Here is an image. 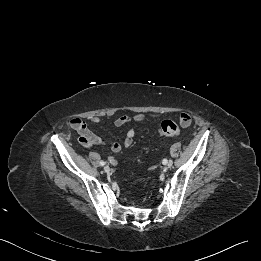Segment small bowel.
I'll return each instance as SVG.
<instances>
[{"label": "small bowel", "mask_w": 261, "mask_h": 261, "mask_svg": "<svg viewBox=\"0 0 261 261\" xmlns=\"http://www.w3.org/2000/svg\"><path fill=\"white\" fill-rule=\"evenodd\" d=\"M161 115L160 114H152L149 117L152 119H157ZM148 116L142 113H137L133 116L128 115H120L114 120V125L117 127H121L124 125H127L131 122L141 123L144 122ZM180 118H187L189 120L188 123H181L182 127H188L191 123V115L187 112H182L179 115ZM88 122L94 123V124H100L102 123V119L100 117H90L88 119ZM70 126L72 129H74L78 135H79V142L81 145L89 147V146H102L104 145L103 140L94 134L92 131L89 130L86 121L80 119V118H72L70 120ZM135 136V129L130 128L125 136L123 146L129 147L133 143V139ZM111 149L113 152L117 153L122 149V145L118 142H115L111 145Z\"/></svg>", "instance_id": "c3829d8e"}]
</instances>
